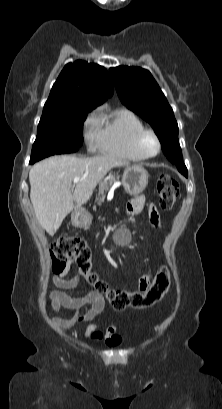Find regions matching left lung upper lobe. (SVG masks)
Instances as JSON below:
<instances>
[{"mask_svg": "<svg viewBox=\"0 0 222 409\" xmlns=\"http://www.w3.org/2000/svg\"><path fill=\"white\" fill-rule=\"evenodd\" d=\"M109 72L123 104L153 127L168 160L187 176L173 110L151 73L128 66L110 68Z\"/></svg>", "mask_w": 222, "mask_h": 409, "instance_id": "1", "label": "left lung upper lobe"}]
</instances>
